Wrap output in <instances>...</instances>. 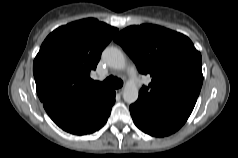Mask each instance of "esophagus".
<instances>
[{"label":"esophagus","mask_w":238,"mask_h":158,"mask_svg":"<svg viewBox=\"0 0 238 158\" xmlns=\"http://www.w3.org/2000/svg\"><path fill=\"white\" fill-rule=\"evenodd\" d=\"M123 91H124L123 88L116 90L117 94H119V95H122V94H123Z\"/></svg>","instance_id":"esophagus-1"}]
</instances>
